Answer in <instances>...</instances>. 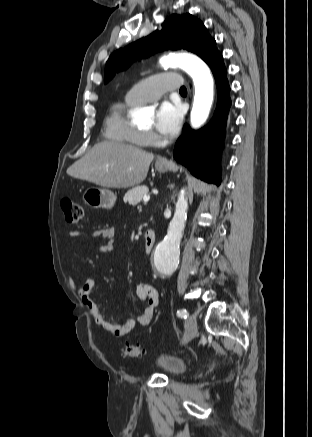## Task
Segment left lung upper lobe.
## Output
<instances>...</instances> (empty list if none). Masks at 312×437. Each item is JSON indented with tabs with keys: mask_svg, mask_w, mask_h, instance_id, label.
I'll return each mask as SVG.
<instances>
[{
	"mask_svg": "<svg viewBox=\"0 0 312 437\" xmlns=\"http://www.w3.org/2000/svg\"><path fill=\"white\" fill-rule=\"evenodd\" d=\"M169 48L191 51L206 63L219 52L216 41L200 20L190 14H174L165 20L161 29L114 52L106 63L104 82L112 79L117 71L126 69L134 59Z\"/></svg>",
	"mask_w": 312,
	"mask_h": 437,
	"instance_id": "5c2ea615",
	"label": "left lung upper lobe"
}]
</instances>
